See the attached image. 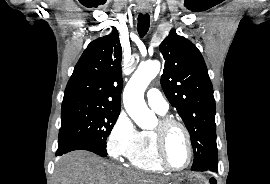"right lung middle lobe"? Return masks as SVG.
<instances>
[{"label": "right lung middle lobe", "mask_w": 270, "mask_h": 184, "mask_svg": "<svg viewBox=\"0 0 270 184\" xmlns=\"http://www.w3.org/2000/svg\"><path fill=\"white\" fill-rule=\"evenodd\" d=\"M119 114V109L86 100H63L58 147L84 142L107 153L106 139Z\"/></svg>", "instance_id": "right-lung-middle-lobe-1"}]
</instances>
